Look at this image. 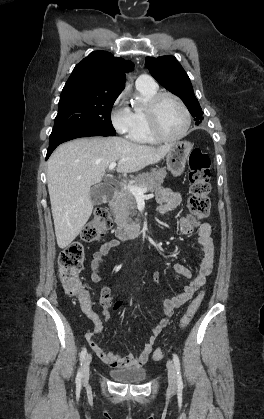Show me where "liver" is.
<instances>
[{
  "label": "liver",
  "instance_id": "6515ba94",
  "mask_svg": "<svg viewBox=\"0 0 264 419\" xmlns=\"http://www.w3.org/2000/svg\"><path fill=\"white\" fill-rule=\"evenodd\" d=\"M171 144L158 148L121 137L80 138L60 145L47 166V184L58 247L64 249L90 218L91 186L100 183L112 162L117 172H137L164 158Z\"/></svg>",
  "mask_w": 264,
  "mask_h": 419
}]
</instances>
